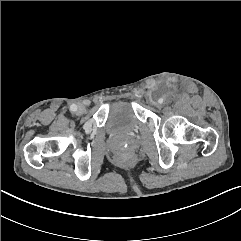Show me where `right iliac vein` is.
<instances>
[{"label": "right iliac vein", "instance_id": "1", "mask_svg": "<svg viewBox=\"0 0 241 241\" xmlns=\"http://www.w3.org/2000/svg\"><path fill=\"white\" fill-rule=\"evenodd\" d=\"M86 112V108H85V106H79L78 107V110H77V113L78 114H83V113H85Z\"/></svg>", "mask_w": 241, "mask_h": 241}]
</instances>
